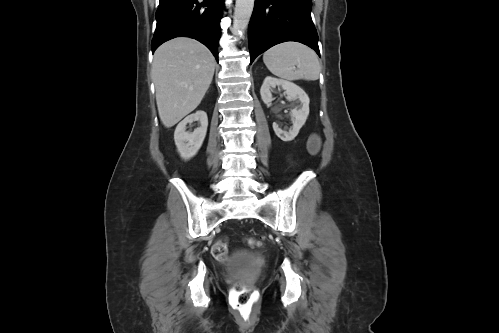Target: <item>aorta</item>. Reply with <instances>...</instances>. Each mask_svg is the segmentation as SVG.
I'll return each mask as SVG.
<instances>
[{
	"mask_svg": "<svg viewBox=\"0 0 499 333\" xmlns=\"http://www.w3.org/2000/svg\"><path fill=\"white\" fill-rule=\"evenodd\" d=\"M255 0H236L233 20V34L242 35L246 30L253 11Z\"/></svg>",
	"mask_w": 499,
	"mask_h": 333,
	"instance_id": "1",
	"label": "aorta"
}]
</instances>
